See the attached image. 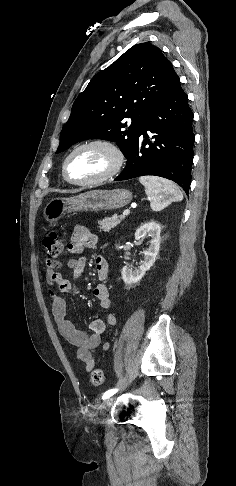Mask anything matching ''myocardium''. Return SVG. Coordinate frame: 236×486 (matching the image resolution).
<instances>
[{
  "label": "myocardium",
  "mask_w": 236,
  "mask_h": 486,
  "mask_svg": "<svg viewBox=\"0 0 236 486\" xmlns=\"http://www.w3.org/2000/svg\"><path fill=\"white\" fill-rule=\"evenodd\" d=\"M94 146L103 147L111 153L112 158H113L112 167L103 175H101L97 178L91 179V180L77 181V180L72 179L69 176V173H68V164H69L70 159L78 151H80L84 148L94 147ZM124 162H125V155H124L122 149L116 143L109 141V140L96 139V140L84 142V143L78 145L77 147H75L65 158V160L63 162L62 173H63V177L65 178V180L67 182H69L70 184L78 185V186H91V185H96V184L106 182L108 180H111L115 176H117L119 174V172L121 171V169L124 165Z\"/></svg>",
  "instance_id": "1"
}]
</instances>
